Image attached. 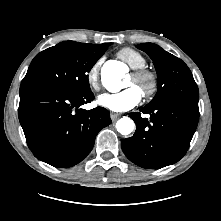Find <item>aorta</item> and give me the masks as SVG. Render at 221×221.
I'll list each match as a JSON object with an SVG mask.
<instances>
[{
    "label": "aorta",
    "mask_w": 221,
    "mask_h": 221,
    "mask_svg": "<svg viewBox=\"0 0 221 221\" xmlns=\"http://www.w3.org/2000/svg\"><path fill=\"white\" fill-rule=\"evenodd\" d=\"M126 70L120 64L107 63L102 68V82L110 92H117L122 87L121 79L125 76ZM135 123L129 117H123L116 123L117 131L122 135H129L133 132Z\"/></svg>",
    "instance_id": "aorta-1"
}]
</instances>
